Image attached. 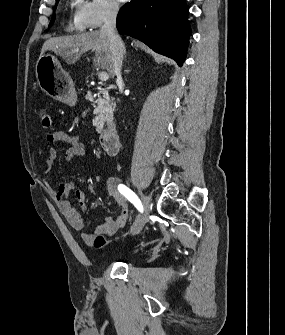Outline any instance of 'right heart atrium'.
Instances as JSON below:
<instances>
[{
  "label": "right heart atrium",
  "mask_w": 285,
  "mask_h": 335,
  "mask_svg": "<svg viewBox=\"0 0 285 335\" xmlns=\"http://www.w3.org/2000/svg\"><path fill=\"white\" fill-rule=\"evenodd\" d=\"M121 6L117 1H87L82 9V21L86 27L96 30L117 19Z\"/></svg>",
  "instance_id": "1"
}]
</instances>
